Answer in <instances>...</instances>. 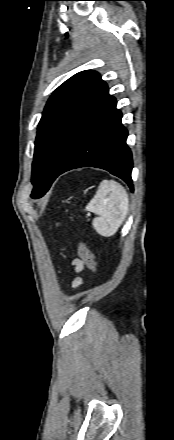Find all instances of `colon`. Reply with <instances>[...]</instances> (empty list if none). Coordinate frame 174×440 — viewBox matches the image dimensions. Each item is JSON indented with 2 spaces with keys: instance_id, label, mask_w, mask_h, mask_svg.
<instances>
[{
  "instance_id": "5ec220e1",
  "label": "colon",
  "mask_w": 174,
  "mask_h": 440,
  "mask_svg": "<svg viewBox=\"0 0 174 440\" xmlns=\"http://www.w3.org/2000/svg\"><path fill=\"white\" fill-rule=\"evenodd\" d=\"M77 252L84 265L92 272L97 273L99 270V266L94 258L93 253L83 241H78Z\"/></svg>"
}]
</instances>
